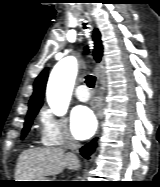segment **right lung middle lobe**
<instances>
[{"label":"right lung middle lobe","instance_id":"right-lung-middle-lobe-1","mask_svg":"<svg viewBox=\"0 0 160 187\" xmlns=\"http://www.w3.org/2000/svg\"><path fill=\"white\" fill-rule=\"evenodd\" d=\"M37 113H38V110L28 112L25 123H24V128L22 130V137H25L26 134L28 133V131L32 125L33 118L36 116Z\"/></svg>","mask_w":160,"mask_h":187}]
</instances>
